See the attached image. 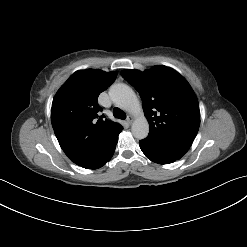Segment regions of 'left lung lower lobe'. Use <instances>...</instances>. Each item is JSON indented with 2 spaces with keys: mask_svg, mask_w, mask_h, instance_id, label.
Masks as SVG:
<instances>
[{
  "mask_svg": "<svg viewBox=\"0 0 247 247\" xmlns=\"http://www.w3.org/2000/svg\"><path fill=\"white\" fill-rule=\"evenodd\" d=\"M142 152L153 162L169 164L183 157L188 147L166 144L146 137L139 141Z\"/></svg>",
  "mask_w": 247,
  "mask_h": 247,
  "instance_id": "0a47b994",
  "label": "left lung lower lobe"
}]
</instances>
